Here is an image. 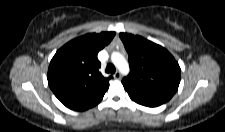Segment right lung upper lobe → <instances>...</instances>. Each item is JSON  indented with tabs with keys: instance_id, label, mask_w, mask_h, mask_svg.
Returning <instances> with one entry per match:
<instances>
[{
	"instance_id": "right-lung-upper-lobe-1",
	"label": "right lung upper lobe",
	"mask_w": 225,
	"mask_h": 132,
	"mask_svg": "<svg viewBox=\"0 0 225 132\" xmlns=\"http://www.w3.org/2000/svg\"><path fill=\"white\" fill-rule=\"evenodd\" d=\"M115 32L89 33L61 47L48 68V84L66 107L84 111L97 105L109 87L111 77L100 73L98 52L108 45Z\"/></svg>"
}]
</instances>
